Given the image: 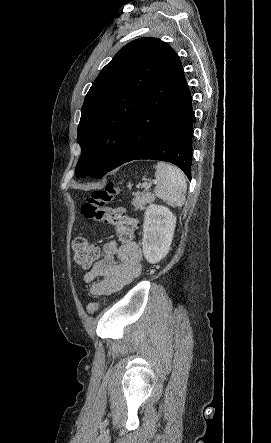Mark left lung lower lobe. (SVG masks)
Here are the masks:
<instances>
[{
  "label": "left lung lower lobe",
  "instance_id": "left-lung-lower-lobe-1",
  "mask_svg": "<svg viewBox=\"0 0 271 443\" xmlns=\"http://www.w3.org/2000/svg\"><path fill=\"white\" fill-rule=\"evenodd\" d=\"M194 112L183 67L175 54L145 95L109 171L136 159L177 165L191 180Z\"/></svg>",
  "mask_w": 271,
  "mask_h": 443
}]
</instances>
